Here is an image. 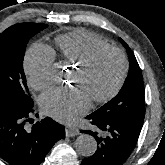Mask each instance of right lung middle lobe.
I'll use <instances>...</instances> for the list:
<instances>
[{"mask_svg": "<svg viewBox=\"0 0 165 165\" xmlns=\"http://www.w3.org/2000/svg\"><path fill=\"white\" fill-rule=\"evenodd\" d=\"M46 27V24L19 23L0 34V101L34 105L28 94L23 59L30 38Z\"/></svg>", "mask_w": 165, "mask_h": 165, "instance_id": "1", "label": "right lung middle lobe"}]
</instances>
